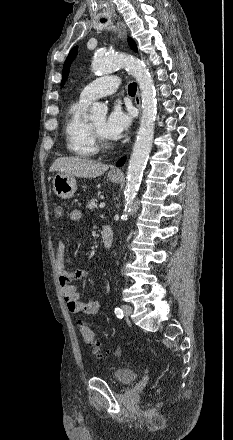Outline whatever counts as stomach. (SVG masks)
I'll return each mask as SVG.
<instances>
[{
	"mask_svg": "<svg viewBox=\"0 0 233 440\" xmlns=\"http://www.w3.org/2000/svg\"><path fill=\"white\" fill-rule=\"evenodd\" d=\"M111 182L117 183L120 181L119 175L108 174ZM53 191L61 199H70L77 190L76 179L73 175L64 173H57L52 180Z\"/></svg>",
	"mask_w": 233,
	"mask_h": 440,
	"instance_id": "0dacf381",
	"label": "stomach"
}]
</instances>
